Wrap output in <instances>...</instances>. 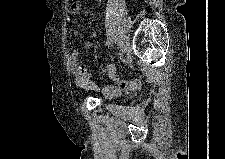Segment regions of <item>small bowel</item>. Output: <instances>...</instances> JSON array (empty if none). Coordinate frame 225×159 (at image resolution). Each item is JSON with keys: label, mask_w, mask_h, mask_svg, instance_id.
I'll return each mask as SVG.
<instances>
[{"label": "small bowel", "mask_w": 225, "mask_h": 159, "mask_svg": "<svg viewBox=\"0 0 225 159\" xmlns=\"http://www.w3.org/2000/svg\"><path fill=\"white\" fill-rule=\"evenodd\" d=\"M82 8L81 2L74 3L70 10L69 16H75L80 12ZM84 47L89 49L92 47V43L90 41H86L84 43ZM81 52L78 49H73L71 52V60H72V74L77 86L90 89L93 91L100 90L97 85H95L91 79L86 65L80 60ZM100 70L104 73H107L110 79L114 82V84L109 85L101 89L102 93L106 97H113L121 93V91H132L140 87V81H125L123 80L111 67L102 65Z\"/></svg>", "instance_id": "small-bowel-1"}]
</instances>
